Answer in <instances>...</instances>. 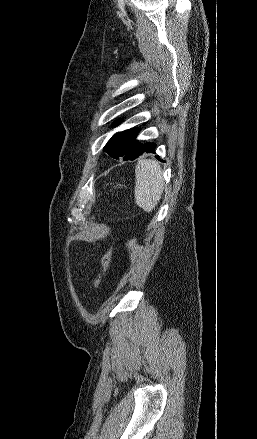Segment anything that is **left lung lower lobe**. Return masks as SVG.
<instances>
[{
	"label": "left lung lower lobe",
	"instance_id": "left-lung-lower-lobe-1",
	"mask_svg": "<svg viewBox=\"0 0 257 439\" xmlns=\"http://www.w3.org/2000/svg\"><path fill=\"white\" fill-rule=\"evenodd\" d=\"M155 143H141L138 142L137 146L135 147V149L127 156L123 157L122 159L127 161V160H134L136 158H138L139 156L142 155H147L148 153H155ZM156 158H158V156H156Z\"/></svg>",
	"mask_w": 257,
	"mask_h": 439
}]
</instances>
